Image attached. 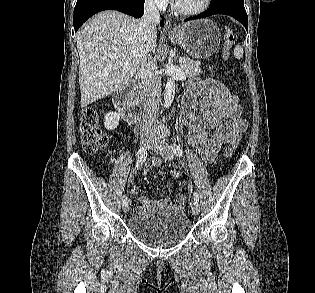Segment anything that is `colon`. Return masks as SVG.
I'll list each match as a JSON object with an SVG mask.
<instances>
[{
	"label": "colon",
	"mask_w": 315,
	"mask_h": 293,
	"mask_svg": "<svg viewBox=\"0 0 315 293\" xmlns=\"http://www.w3.org/2000/svg\"><path fill=\"white\" fill-rule=\"evenodd\" d=\"M234 41V33L232 29H227L222 42L221 59L226 61L229 56L231 44ZM79 133L81 144L84 151L88 154H95L108 143V137L104 134L99 124V113L95 109H86L79 123ZM234 145H229L225 151V155L229 157L234 151ZM176 202L179 206H185L188 199L183 194L176 196Z\"/></svg>",
	"instance_id": "5ec220e1"
}]
</instances>
